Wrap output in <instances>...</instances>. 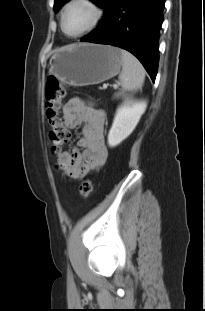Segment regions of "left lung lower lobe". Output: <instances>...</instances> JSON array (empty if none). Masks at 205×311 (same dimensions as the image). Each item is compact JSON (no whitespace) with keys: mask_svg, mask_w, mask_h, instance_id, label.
<instances>
[{"mask_svg":"<svg viewBox=\"0 0 205 311\" xmlns=\"http://www.w3.org/2000/svg\"><path fill=\"white\" fill-rule=\"evenodd\" d=\"M165 0H114L99 27L81 39L131 52L155 81Z\"/></svg>","mask_w":205,"mask_h":311,"instance_id":"1","label":"left lung lower lobe"}]
</instances>
